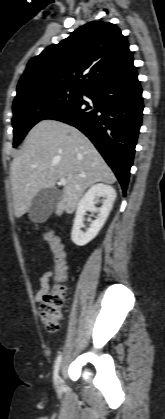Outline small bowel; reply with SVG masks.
<instances>
[{"label":"small bowel","instance_id":"1","mask_svg":"<svg viewBox=\"0 0 165 419\" xmlns=\"http://www.w3.org/2000/svg\"><path fill=\"white\" fill-rule=\"evenodd\" d=\"M53 273L50 271L44 272L39 277L40 288L35 294V300L39 302L43 296L50 291V279Z\"/></svg>","mask_w":165,"mask_h":419}]
</instances>
